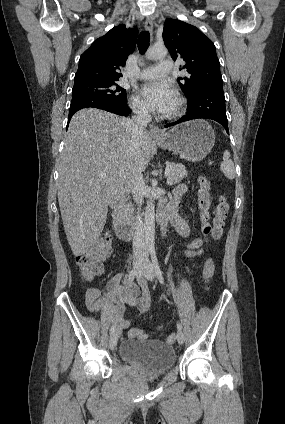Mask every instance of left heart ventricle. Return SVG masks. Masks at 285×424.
Segmentation results:
<instances>
[{"label": "left heart ventricle", "mask_w": 285, "mask_h": 424, "mask_svg": "<svg viewBox=\"0 0 285 424\" xmlns=\"http://www.w3.org/2000/svg\"><path fill=\"white\" fill-rule=\"evenodd\" d=\"M175 108H176V99H175L171 109L167 112V114L173 112L175 110Z\"/></svg>", "instance_id": "b2bd125f"}]
</instances>
